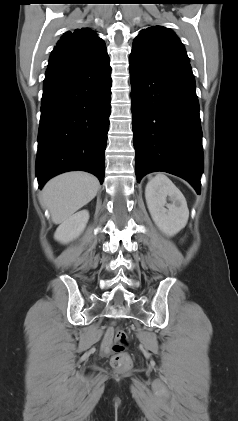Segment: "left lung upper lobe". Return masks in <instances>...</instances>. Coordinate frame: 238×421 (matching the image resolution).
<instances>
[{"label":"left lung upper lobe","instance_id":"1","mask_svg":"<svg viewBox=\"0 0 238 421\" xmlns=\"http://www.w3.org/2000/svg\"><path fill=\"white\" fill-rule=\"evenodd\" d=\"M131 54L150 62L171 59L189 61L180 39L172 30L163 26L144 29L134 39Z\"/></svg>","mask_w":238,"mask_h":421}]
</instances>
